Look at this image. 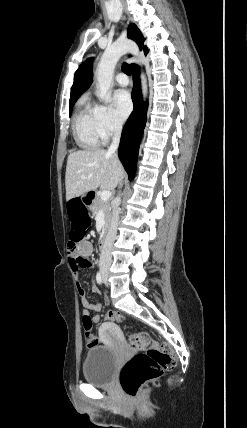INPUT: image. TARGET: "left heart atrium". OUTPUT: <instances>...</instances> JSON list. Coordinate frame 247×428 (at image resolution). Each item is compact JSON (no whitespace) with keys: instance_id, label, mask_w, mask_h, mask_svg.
Segmentation results:
<instances>
[{"instance_id":"left-heart-atrium-1","label":"left heart atrium","mask_w":247,"mask_h":428,"mask_svg":"<svg viewBox=\"0 0 247 428\" xmlns=\"http://www.w3.org/2000/svg\"><path fill=\"white\" fill-rule=\"evenodd\" d=\"M113 101L117 117L124 120L132 110V101L129 93L125 90H119L115 92Z\"/></svg>"}]
</instances>
